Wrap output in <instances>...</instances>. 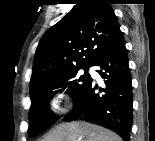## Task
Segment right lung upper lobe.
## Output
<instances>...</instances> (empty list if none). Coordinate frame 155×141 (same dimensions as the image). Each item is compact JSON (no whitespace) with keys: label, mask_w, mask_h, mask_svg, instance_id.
I'll return each instance as SVG.
<instances>
[{"label":"right lung upper lobe","mask_w":155,"mask_h":141,"mask_svg":"<svg viewBox=\"0 0 155 141\" xmlns=\"http://www.w3.org/2000/svg\"><path fill=\"white\" fill-rule=\"evenodd\" d=\"M120 32L108 0H79L42 36L35 53L30 88L46 78L93 66Z\"/></svg>","instance_id":"obj_1"}]
</instances>
